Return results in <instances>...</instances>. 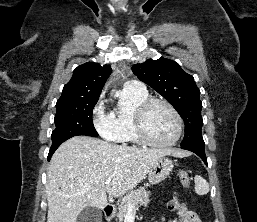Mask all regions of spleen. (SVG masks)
<instances>
[{"instance_id":"3e777b00","label":"spleen","mask_w":257,"mask_h":222,"mask_svg":"<svg viewBox=\"0 0 257 222\" xmlns=\"http://www.w3.org/2000/svg\"><path fill=\"white\" fill-rule=\"evenodd\" d=\"M194 181L195 191L198 195H205L209 192V184L203 177L196 175Z\"/></svg>"}]
</instances>
